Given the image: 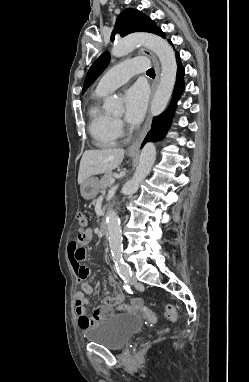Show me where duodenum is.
Returning <instances> with one entry per match:
<instances>
[{
	"instance_id": "1",
	"label": "duodenum",
	"mask_w": 249,
	"mask_h": 382,
	"mask_svg": "<svg viewBox=\"0 0 249 382\" xmlns=\"http://www.w3.org/2000/svg\"><path fill=\"white\" fill-rule=\"evenodd\" d=\"M100 231L103 235H106L108 233V222L106 218H102L100 222Z\"/></svg>"
}]
</instances>
